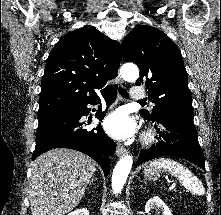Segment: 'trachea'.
Listing matches in <instances>:
<instances>
[{
    "instance_id": "trachea-1",
    "label": "trachea",
    "mask_w": 221,
    "mask_h": 215,
    "mask_svg": "<svg viewBox=\"0 0 221 215\" xmlns=\"http://www.w3.org/2000/svg\"><path fill=\"white\" fill-rule=\"evenodd\" d=\"M118 91H119V94H120L122 97H124V98H126V99L129 98V94L127 93V91H126L125 89L119 88ZM139 102H140V103H145L144 100H140Z\"/></svg>"
}]
</instances>
